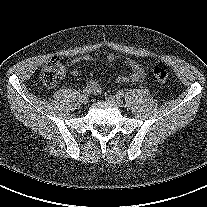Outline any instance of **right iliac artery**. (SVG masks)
I'll use <instances>...</instances> for the list:
<instances>
[{"instance_id": "82829eb1", "label": "right iliac artery", "mask_w": 207, "mask_h": 207, "mask_svg": "<svg viewBox=\"0 0 207 207\" xmlns=\"http://www.w3.org/2000/svg\"><path fill=\"white\" fill-rule=\"evenodd\" d=\"M90 92H91V91H90L87 87L84 88V90H83L84 95H89Z\"/></svg>"}]
</instances>
